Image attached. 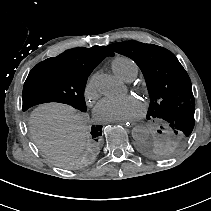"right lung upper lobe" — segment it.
I'll use <instances>...</instances> for the list:
<instances>
[{"instance_id": "cb5924a9", "label": "right lung upper lobe", "mask_w": 211, "mask_h": 211, "mask_svg": "<svg viewBox=\"0 0 211 211\" xmlns=\"http://www.w3.org/2000/svg\"><path fill=\"white\" fill-rule=\"evenodd\" d=\"M114 53L105 46H94L92 48L69 49L60 55L49 58L58 62L75 63L85 67L95 68L105 57L113 56Z\"/></svg>"}]
</instances>
